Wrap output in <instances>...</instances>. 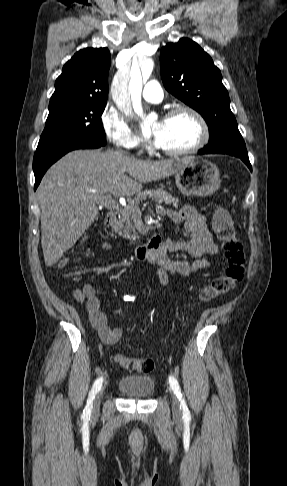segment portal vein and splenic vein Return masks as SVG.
<instances>
[{
    "label": "portal vein and splenic vein",
    "mask_w": 287,
    "mask_h": 486,
    "mask_svg": "<svg viewBox=\"0 0 287 486\" xmlns=\"http://www.w3.org/2000/svg\"><path fill=\"white\" fill-rule=\"evenodd\" d=\"M97 203H100L109 209H116L119 207V203L112 198L111 194L103 195L101 198L97 199Z\"/></svg>",
    "instance_id": "obj_1"
}]
</instances>
